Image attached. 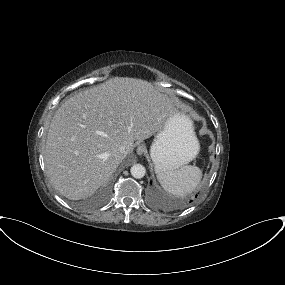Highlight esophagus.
Segmentation results:
<instances>
[{
    "label": "esophagus",
    "instance_id": "esophagus-1",
    "mask_svg": "<svg viewBox=\"0 0 285 285\" xmlns=\"http://www.w3.org/2000/svg\"><path fill=\"white\" fill-rule=\"evenodd\" d=\"M145 150H146L145 146L143 144H139L137 146L136 152H137L138 155H143Z\"/></svg>",
    "mask_w": 285,
    "mask_h": 285
}]
</instances>
